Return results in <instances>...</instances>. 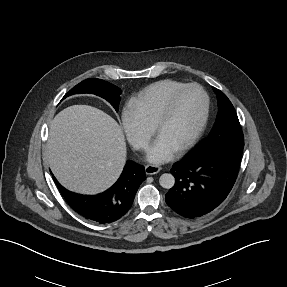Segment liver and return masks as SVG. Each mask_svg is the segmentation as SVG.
I'll return each instance as SVG.
<instances>
[{
    "mask_svg": "<svg viewBox=\"0 0 287 287\" xmlns=\"http://www.w3.org/2000/svg\"><path fill=\"white\" fill-rule=\"evenodd\" d=\"M46 158L67 189L96 194L109 188L126 162V143L118 123L88 105H73L52 120Z\"/></svg>",
    "mask_w": 287,
    "mask_h": 287,
    "instance_id": "6515ba94",
    "label": "liver"
}]
</instances>
